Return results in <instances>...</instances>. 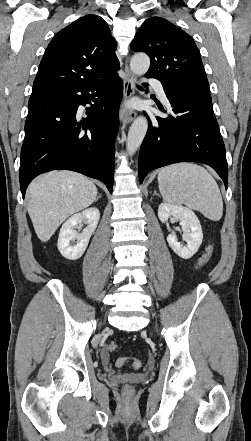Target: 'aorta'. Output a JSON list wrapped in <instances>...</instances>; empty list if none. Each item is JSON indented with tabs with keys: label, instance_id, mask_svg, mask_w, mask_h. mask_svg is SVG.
<instances>
[{
	"label": "aorta",
	"instance_id": "1",
	"mask_svg": "<svg viewBox=\"0 0 251 441\" xmlns=\"http://www.w3.org/2000/svg\"><path fill=\"white\" fill-rule=\"evenodd\" d=\"M150 66V59L146 54H135L130 61V68L134 74H145ZM148 129V121L145 117H137L132 123L127 137V152L132 155L140 147Z\"/></svg>",
	"mask_w": 251,
	"mask_h": 441
}]
</instances>
